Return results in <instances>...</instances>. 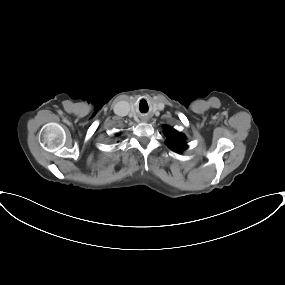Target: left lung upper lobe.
<instances>
[{"mask_svg": "<svg viewBox=\"0 0 285 285\" xmlns=\"http://www.w3.org/2000/svg\"><path fill=\"white\" fill-rule=\"evenodd\" d=\"M164 135L167 137L165 144L173 151L181 152L187 148L185 135L177 132L170 126H163Z\"/></svg>", "mask_w": 285, "mask_h": 285, "instance_id": "obj_1", "label": "left lung upper lobe"}]
</instances>
